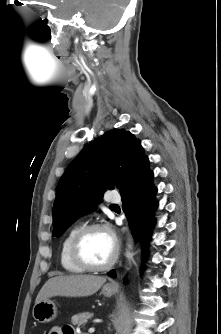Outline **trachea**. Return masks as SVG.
Segmentation results:
<instances>
[{"label":"trachea","instance_id":"1","mask_svg":"<svg viewBox=\"0 0 221 334\" xmlns=\"http://www.w3.org/2000/svg\"><path fill=\"white\" fill-rule=\"evenodd\" d=\"M117 205L116 204H112V205H110V207H116Z\"/></svg>","mask_w":221,"mask_h":334}]
</instances>
